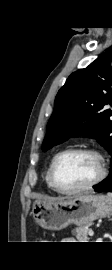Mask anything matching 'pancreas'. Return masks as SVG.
Instances as JSON below:
<instances>
[{
  "mask_svg": "<svg viewBox=\"0 0 112 270\" xmlns=\"http://www.w3.org/2000/svg\"><path fill=\"white\" fill-rule=\"evenodd\" d=\"M89 226V225H87ZM86 225L79 226L76 229L73 230V235L78 239V242H88V232L89 229Z\"/></svg>",
  "mask_w": 112,
  "mask_h": 270,
  "instance_id": "pancreas-1",
  "label": "pancreas"
}]
</instances>
